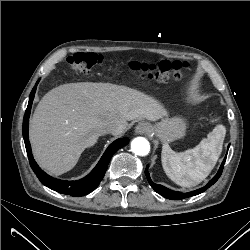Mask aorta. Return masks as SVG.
<instances>
[{
  "mask_svg": "<svg viewBox=\"0 0 250 250\" xmlns=\"http://www.w3.org/2000/svg\"><path fill=\"white\" fill-rule=\"evenodd\" d=\"M131 150L136 155L145 156L150 151V144L147 139L143 137H137L131 142Z\"/></svg>",
  "mask_w": 250,
  "mask_h": 250,
  "instance_id": "obj_1",
  "label": "aorta"
}]
</instances>
